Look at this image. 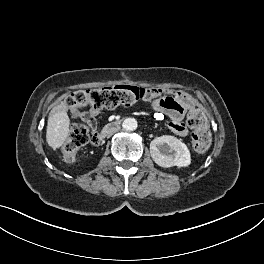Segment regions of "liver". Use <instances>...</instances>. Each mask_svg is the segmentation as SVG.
<instances>
[{
  "label": "liver",
  "instance_id": "6515ba94",
  "mask_svg": "<svg viewBox=\"0 0 264 264\" xmlns=\"http://www.w3.org/2000/svg\"><path fill=\"white\" fill-rule=\"evenodd\" d=\"M69 124V117L62 108H55L50 112L46 130V141L52 149L62 146L69 134Z\"/></svg>",
  "mask_w": 264,
  "mask_h": 264
}]
</instances>
